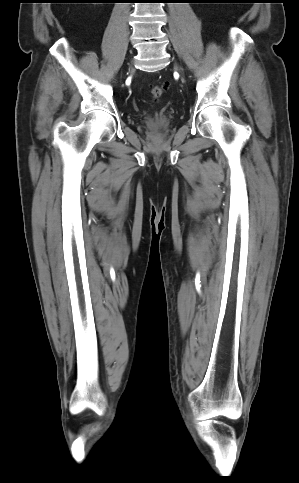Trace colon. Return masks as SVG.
Wrapping results in <instances>:
<instances>
[{"label":"colon","instance_id":"obj_1","mask_svg":"<svg viewBox=\"0 0 299 483\" xmlns=\"http://www.w3.org/2000/svg\"><path fill=\"white\" fill-rule=\"evenodd\" d=\"M169 88L168 83L154 85L151 87V96L155 101H158L164 92Z\"/></svg>","mask_w":299,"mask_h":483}]
</instances>
